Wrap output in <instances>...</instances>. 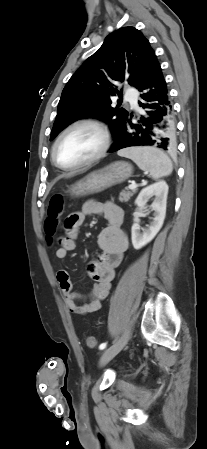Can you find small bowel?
<instances>
[{
	"mask_svg": "<svg viewBox=\"0 0 207 449\" xmlns=\"http://www.w3.org/2000/svg\"><path fill=\"white\" fill-rule=\"evenodd\" d=\"M87 215H100L107 221V226L98 236V245L101 253L87 266L88 275L95 281L88 301L85 296L75 292L68 271L60 269L56 278L68 309L76 315H86L97 311L102 301L107 297L115 270L121 264L124 253L128 247V240L123 229L124 213L122 209L112 202H99L91 200L82 210L68 215L63 223L64 235L58 240L59 247L55 256L59 260L66 258L67 253L76 248L78 230Z\"/></svg>",
	"mask_w": 207,
	"mask_h": 449,
	"instance_id": "c3829d8e",
	"label": "small bowel"
}]
</instances>
